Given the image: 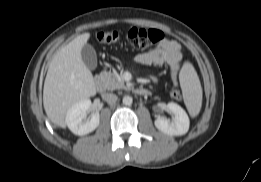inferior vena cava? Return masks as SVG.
<instances>
[{
    "label": "inferior vena cava",
    "mask_w": 261,
    "mask_h": 182,
    "mask_svg": "<svg viewBox=\"0 0 261 182\" xmlns=\"http://www.w3.org/2000/svg\"><path fill=\"white\" fill-rule=\"evenodd\" d=\"M102 97L109 104H114L118 99L117 95L112 93H105Z\"/></svg>",
    "instance_id": "inferior-vena-cava-1"
}]
</instances>
